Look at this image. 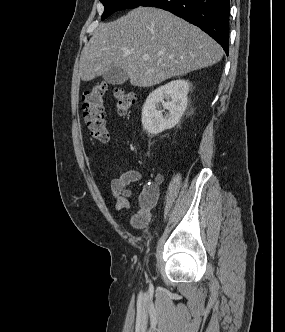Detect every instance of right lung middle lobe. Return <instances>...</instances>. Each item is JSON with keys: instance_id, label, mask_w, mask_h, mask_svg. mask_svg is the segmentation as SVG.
Returning a JSON list of instances; mask_svg holds the SVG:
<instances>
[{"instance_id": "right-lung-middle-lobe-1", "label": "right lung middle lobe", "mask_w": 285, "mask_h": 332, "mask_svg": "<svg viewBox=\"0 0 285 332\" xmlns=\"http://www.w3.org/2000/svg\"><path fill=\"white\" fill-rule=\"evenodd\" d=\"M105 6L104 13L102 14V20L107 18L113 12L128 9L136 8L142 5L147 0H100Z\"/></svg>"}]
</instances>
